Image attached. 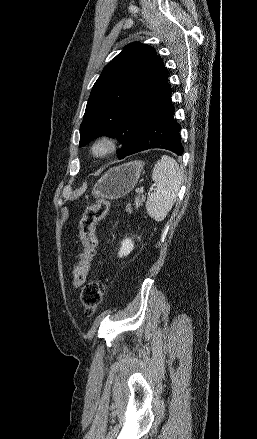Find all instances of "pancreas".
Here are the masks:
<instances>
[{"mask_svg":"<svg viewBox=\"0 0 257 439\" xmlns=\"http://www.w3.org/2000/svg\"><path fill=\"white\" fill-rule=\"evenodd\" d=\"M143 202H145V196L144 195H142V196L139 195L138 198L135 201L136 207L142 206ZM127 207H128L127 208V212H131L132 211L131 210V205L129 204Z\"/></svg>","mask_w":257,"mask_h":439,"instance_id":"cf45deb5","label":"pancreas"}]
</instances>
